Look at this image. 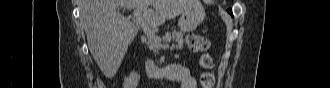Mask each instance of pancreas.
<instances>
[{"label": "pancreas", "mask_w": 330, "mask_h": 88, "mask_svg": "<svg viewBox=\"0 0 330 88\" xmlns=\"http://www.w3.org/2000/svg\"><path fill=\"white\" fill-rule=\"evenodd\" d=\"M158 38L160 42L161 40L163 41L172 40L173 41L172 48H176L177 50H181L183 48V34L181 32H176V31H173L172 33L167 32L164 36H162V38L160 36H158ZM146 45L154 53L158 51V48L155 47V45L152 43V41L149 38H147Z\"/></svg>", "instance_id": "pancreas-1"}]
</instances>
